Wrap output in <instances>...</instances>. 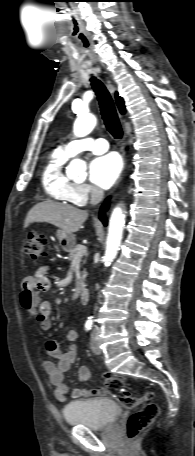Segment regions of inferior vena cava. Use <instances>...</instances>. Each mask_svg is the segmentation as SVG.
Wrapping results in <instances>:
<instances>
[{
  "instance_id": "inferior-vena-cava-1",
  "label": "inferior vena cava",
  "mask_w": 195,
  "mask_h": 456,
  "mask_svg": "<svg viewBox=\"0 0 195 456\" xmlns=\"http://www.w3.org/2000/svg\"><path fill=\"white\" fill-rule=\"evenodd\" d=\"M104 197V192L102 189L98 188V187H92L91 188V198H90V203L91 205L95 206L97 205L98 203H100L102 201ZM97 307L95 306V309L96 310Z\"/></svg>"
}]
</instances>
